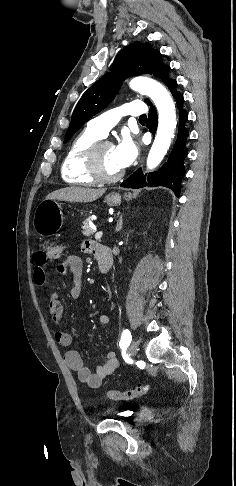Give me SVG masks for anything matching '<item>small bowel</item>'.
Returning a JSON list of instances; mask_svg holds the SVG:
<instances>
[{
    "instance_id": "c3829d8e",
    "label": "small bowel",
    "mask_w": 236,
    "mask_h": 486,
    "mask_svg": "<svg viewBox=\"0 0 236 486\" xmlns=\"http://www.w3.org/2000/svg\"><path fill=\"white\" fill-rule=\"evenodd\" d=\"M96 243L93 241H84L82 244V251L85 253L95 254ZM35 269H34V282L40 287L47 285V271L46 260L43 259L42 253L39 252L35 257ZM69 269L73 275V283L69 288V296L73 299H77L81 294V277L83 272V261L79 256L70 255L66 260L57 267L59 274H65ZM48 313L51 317L53 326L58 327L62 318V304L59 300L57 291L51 293L48 305ZM99 322L102 325H107L110 322V318L106 313H102L99 316ZM56 341L68 349L64 353V360L66 365L77 373L78 379L87 384L91 388H99L103 380L112 374L119 366L116 354L113 351L107 352L104 356V362L95 367L92 372L84 363V360L80 353L72 348H69L73 343L72 334L63 329H59L55 332Z\"/></svg>"
}]
</instances>
